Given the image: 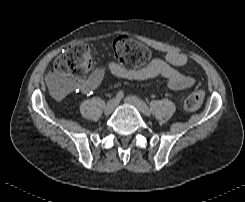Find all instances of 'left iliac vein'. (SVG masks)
Returning <instances> with one entry per match:
<instances>
[{
	"label": "left iliac vein",
	"mask_w": 245,
	"mask_h": 202,
	"mask_svg": "<svg viewBox=\"0 0 245 202\" xmlns=\"http://www.w3.org/2000/svg\"><path fill=\"white\" fill-rule=\"evenodd\" d=\"M124 101L127 104L134 106L140 113H142V114L144 113L143 109H142L141 101L136 96H127V97H125Z\"/></svg>",
	"instance_id": "obj_1"
}]
</instances>
